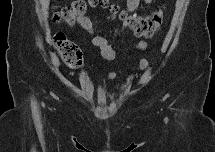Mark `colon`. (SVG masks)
<instances>
[{"mask_svg":"<svg viewBox=\"0 0 215 152\" xmlns=\"http://www.w3.org/2000/svg\"><path fill=\"white\" fill-rule=\"evenodd\" d=\"M97 4H102L111 12L117 14L120 20L138 37H150L161 27V11H157L151 15L137 16L120 10L115 4L97 0L74 1L70 5L57 11L54 14V19L59 23L72 25L79 17L85 14L88 6H95ZM54 45L63 62L69 68L76 69L82 64V53L80 49L75 43L68 40L64 34L59 33L55 35Z\"/></svg>","mask_w":215,"mask_h":152,"instance_id":"colon-1","label":"colon"}]
</instances>
